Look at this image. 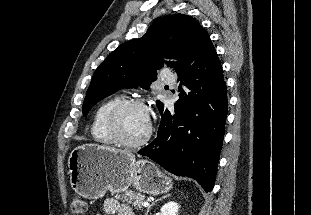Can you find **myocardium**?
I'll return each instance as SVG.
<instances>
[{
	"mask_svg": "<svg viewBox=\"0 0 311 215\" xmlns=\"http://www.w3.org/2000/svg\"><path fill=\"white\" fill-rule=\"evenodd\" d=\"M131 107H141L145 109L149 114V107L142 99L139 98L123 99L111 109L107 117V128L109 133L113 137L115 143L126 148L135 149L142 147L150 140L152 135V124L149 119L147 132L142 139L135 142L126 140L122 134L121 121L124 112Z\"/></svg>",
	"mask_w": 311,
	"mask_h": 215,
	"instance_id": "1",
	"label": "myocardium"
}]
</instances>
